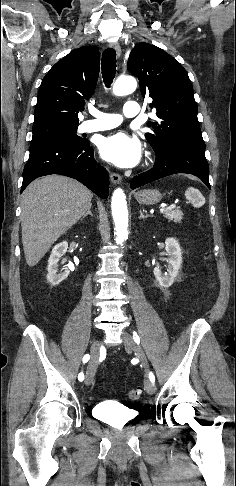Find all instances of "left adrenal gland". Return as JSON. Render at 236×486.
Segmentation results:
<instances>
[{
  "mask_svg": "<svg viewBox=\"0 0 236 486\" xmlns=\"http://www.w3.org/2000/svg\"><path fill=\"white\" fill-rule=\"evenodd\" d=\"M149 217V215H144L143 212L140 210V217L139 219H144V218H147Z\"/></svg>",
  "mask_w": 236,
  "mask_h": 486,
  "instance_id": "obj_1",
  "label": "left adrenal gland"
}]
</instances>
